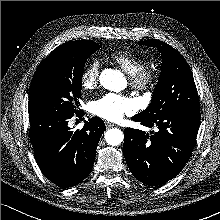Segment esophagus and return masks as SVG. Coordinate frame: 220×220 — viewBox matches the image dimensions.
Wrapping results in <instances>:
<instances>
[{
	"label": "esophagus",
	"instance_id": "obj_1",
	"mask_svg": "<svg viewBox=\"0 0 220 220\" xmlns=\"http://www.w3.org/2000/svg\"><path fill=\"white\" fill-rule=\"evenodd\" d=\"M105 125H106V127H107V128H110V127L115 126V124H114V123L109 122V121H105Z\"/></svg>",
	"mask_w": 220,
	"mask_h": 220
}]
</instances>
